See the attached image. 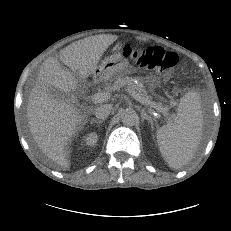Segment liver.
<instances>
[{"label":"liver","instance_id":"obj_1","mask_svg":"<svg viewBox=\"0 0 231 231\" xmlns=\"http://www.w3.org/2000/svg\"><path fill=\"white\" fill-rule=\"evenodd\" d=\"M117 39L116 35L100 34L78 40L61 50L59 60L86 81L95 73L106 49ZM59 60L49 57L43 63L29 95L27 118L31 135L46 157L69 168L67 145L82 128L86 115L74 104L49 94L50 88L74 92L79 87L76 74L63 69Z\"/></svg>","mask_w":231,"mask_h":231}]
</instances>
